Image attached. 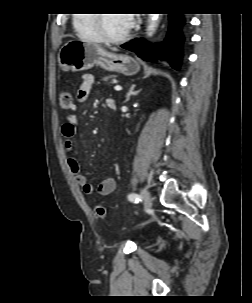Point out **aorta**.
<instances>
[{"label": "aorta", "instance_id": "1", "mask_svg": "<svg viewBox=\"0 0 252 303\" xmlns=\"http://www.w3.org/2000/svg\"><path fill=\"white\" fill-rule=\"evenodd\" d=\"M160 20V14H149V21L147 26V32L149 35H152L159 23Z\"/></svg>", "mask_w": 252, "mask_h": 303}]
</instances>
